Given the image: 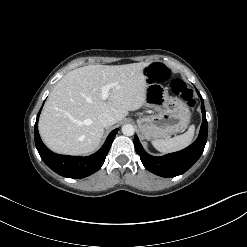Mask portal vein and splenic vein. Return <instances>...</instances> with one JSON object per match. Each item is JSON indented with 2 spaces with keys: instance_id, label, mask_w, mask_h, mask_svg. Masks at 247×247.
I'll return each instance as SVG.
<instances>
[{
  "instance_id": "obj_1",
  "label": "portal vein and splenic vein",
  "mask_w": 247,
  "mask_h": 247,
  "mask_svg": "<svg viewBox=\"0 0 247 247\" xmlns=\"http://www.w3.org/2000/svg\"><path fill=\"white\" fill-rule=\"evenodd\" d=\"M114 86H116V83L107 84L101 87V98L103 100H107L109 97V91Z\"/></svg>"
}]
</instances>
